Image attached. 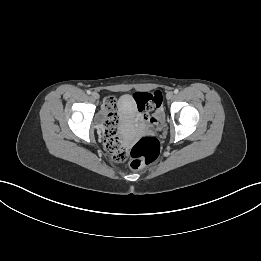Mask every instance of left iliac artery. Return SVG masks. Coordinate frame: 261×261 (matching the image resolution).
<instances>
[{"label":"left iliac artery","mask_w":261,"mask_h":261,"mask_svg":"<svg viewBox=\"0 0 261 261\" xmlns=\"http://www.w3.org/2000/svg\"><path fill=\"white\" fill-rule=\"evenodd\" d=\"M178 92H179V90H178V89H175V90H174V93H175V94H177Z\"/></svg>","instance_id":"44dca946"}]
</instances>
